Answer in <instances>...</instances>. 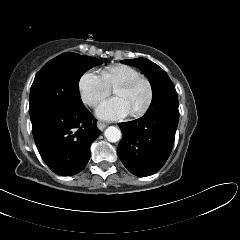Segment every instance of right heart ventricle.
Masks as SVG:
<instances>
[{
  "label": "right heart ventricle",
  "mask_w": 240,
  "mask_h": 240,
  "mask_svg": "<svg viewBox=\"0 0 240 240\" xmlns=\"http://www.w3.org/2000/svg\"><path fill=\"white\" fill-rule=\"evenodd\" d=\"M140 72L132 66L125 64H115L107 66L101 71V77L110 88L140 77Z\"/></svg>",
  "instance_id": "obj_1"
}]
</instances>
